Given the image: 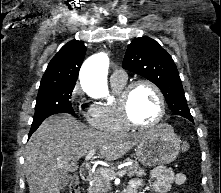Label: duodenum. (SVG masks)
<instances>
[{"label":"duodenum","mask_w":221,"mask_h":193,"mask_svg":"<svg viewBox=\"0 0 221 193\" xmlns=\"http://www.w3.org/2000/svg\"><path fill=\"white\" fill-rule=\"evenodd\" d=\"M93 175V170L90 164H84L80 169V176L84 181H88L91 179ZM121 193H133L132 190L126 189L122 191Z\"/></svg>","instance_id":"410a0bca"}]
</instances>
